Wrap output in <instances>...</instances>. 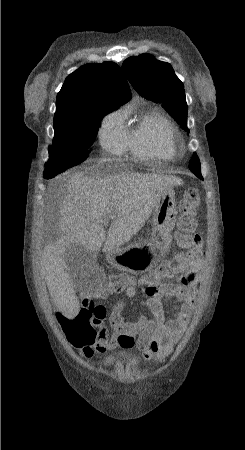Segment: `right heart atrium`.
Segmentation results:
<instances>
[{"instance_id": "obj_1", "label": "right heart atrium", "mask_w": 245, "mask_h": 450, "mask_svg": "<svg viewBox=\"0 0 245 450\" xmlns=\"http://www.w3.org/2000/svg\"><path fill=\"white\" fill-rule=\"evenodd\" d=\"M99 140L110 154L121 155L126 151V132L121 111H114L103 119L99 129Z\"/></svg>"}]
</instances>
